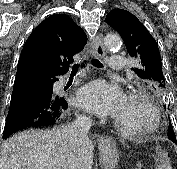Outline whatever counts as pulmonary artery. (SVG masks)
I'll return each mask as SVG.
<instances>
[{
    "mask_svg": "<svg viewBox=\"0 0 177 169\" xmlns=\"http://www.w3.org/2000/svg\"><path fill=\"white\" fill-rule=\"evenodd\" d=\"M108 64L110 71L112 72L122 71L124 68V59L121 56H112L109 58Z\"/></svg>",
    "mask_w": 177,
    "mask_h": 169,
    "instance_id": "obj_1",
    "label": "pulmonary artery"
}]
</instances>
